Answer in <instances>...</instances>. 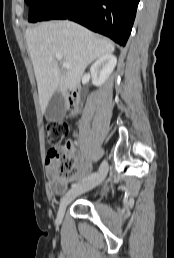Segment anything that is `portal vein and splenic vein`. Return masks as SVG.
Listing matches in <instances>:
<instances>
[{"mask_svg":"<svg viewBox=\"0 0 174 258\" xmlns=\"http://www.w3.org/2000/svg\"><path fill=\"white\" fill-rule=\"evenodd\" d=\"M56 58H57L58 60H61V59H62V57H61L60 55H57ZM62 66H63L64 69H69V68H70L69 64H68V63H65V62L62 63Z\"/></svg>","mask_w":174,"mask_h":258,"instance_id":"obj_1","label":"portal vein and splenic vein"}]
</instances>
